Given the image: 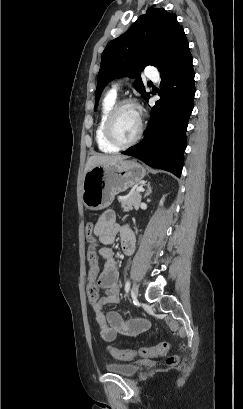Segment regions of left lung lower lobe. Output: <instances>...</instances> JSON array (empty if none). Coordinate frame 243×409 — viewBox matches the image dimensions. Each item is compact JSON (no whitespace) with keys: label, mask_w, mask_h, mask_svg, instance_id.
Returning a JSON list of instances; mask_svg holds the SVG:
<instances>
[{"label":"left lung lower lobe","mask_w":243,"mask_h":409,"mask_svg":"<svg viewBox=\"0 0 243 409\" xmlns=\"http://www.w3.org/2000/svg\"><path fill=\"white\" fill-rule=\"evenodd\" d=\"M161 77V99L151 109L144 138L122 154L136 157L151 167L180 177L186 148V129L195 95L188 42L161 71Z\"/></svg>","instance_id":"obj_1"}]
</instances>
